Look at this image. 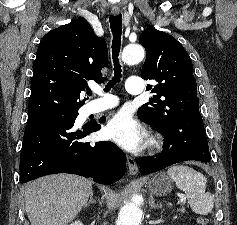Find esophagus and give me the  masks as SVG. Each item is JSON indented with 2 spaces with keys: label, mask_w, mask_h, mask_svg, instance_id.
Here are the masks:
<instances>
[{
  "label": "esophagus",
  "mask_w": 237,
  "mask_h": 225,
  "mask_svg": "<svg viewBox=\"0 0 237 225\" xmlns=\"http://www.w3.org/2000/svg\"><path fill=\"white\" fill-rule=\"evenodd\" d=\"M111 13L113 15H118L120 11L118 9H112ZM127 166H128L129 173L131 175L137 174L138 167L135 160L131 156H127Z\"/></svg>",
  "instance_id": "esophagus-1"
}]
</instances>
